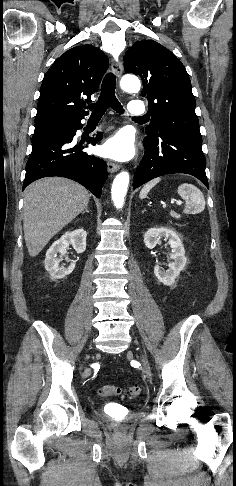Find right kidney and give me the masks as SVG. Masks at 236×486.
Listing matches in <instances>:
<instances>
[{
	"label": "right kidney",
	"mask_w": 236,
	"mask_h": 486,
	"mask_svg": "<svg viewBox=\"0 0 236 486\" xmlns=\"http://www.w3.org/2000/svg\"><path fill=\"white\" fill-rule=\"evenodd\" d=\"M86 237L87 233L82 228L72 232H66L47 250L44 265L52 280L62 279L73 272L75 268L74 262L68 267L60 266V262L63 260V256H65L70 244L77 253H83L86 250ZM57 253L60 254L59 257Z\"/></svg>",
	"instance_id": "right-kidney-1"
}]
</instances>
